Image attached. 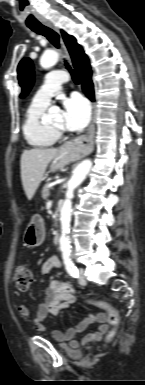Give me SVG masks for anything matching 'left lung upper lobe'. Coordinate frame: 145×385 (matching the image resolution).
<instances>
[{
  "label": "left lung upper lobe",
  "mask_w": 145,
  "mask_h": 385,
  "mask_svg": "<svg viewBox=\"0 0 145 385\" xmlns=\"http://www.w3.org/2000/svg\"><path fill=\"white\" fill-rule=\"evenodd\" d=\"M34 67L32 61L29 58H24L18 65V80L19 85L22 88L20 97L24 98L34 83Z\"/></svg>",
  "instance_id": "obj_1"
}]
</instances>
